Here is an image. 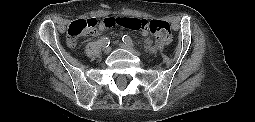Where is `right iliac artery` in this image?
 <instances>
[{"label":"right iliac artery","instance_id":"obj_1","mask_svg":"<svg viewBox=\"0 0 255 122\" xmlns=\"http://www.w3.org/2000/svg\"><path fill=\"white\" fill-rule=\"evenodd\" d=\"M101 41H102V45H103L104 47H108L109 44H110V39H109L108 37L102 38Z\"/></svg>","mask_w":255,"mask_h":122}]
</instances>
